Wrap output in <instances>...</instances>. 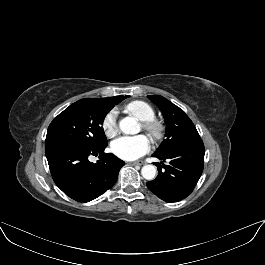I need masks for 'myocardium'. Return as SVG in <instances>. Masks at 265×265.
Returning a JSON list of instances; mask_svg holds the SVG:
<instances>
[{"instance_id":"1","label":"myocardium","mask_w":265,"mask_h":265,"mask_svg":"<svg viewBox=\"0 0 265 265\" xmlns=\"http://www.w3.org/2000/svg\"><path fill=\"white\" fill-rule=\"evenodd\" d=\"M143 129L153 138L159 139L162 135V126L155 120L143 122Z\"/></svg>"}]
</instances>
